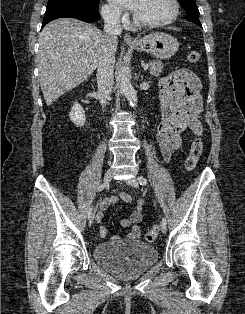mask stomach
Listing matches in <instances>:
<instances>
[{
    "label": "stomach",
    "mask_w": 245,
    "mask_h": 314,
    "mask_svg": "<svg viewBox=\"0 0 245 314\" xmlns=\"http://www.w3.org/2000/svg\"><path fill=\"white\" fill-rule=\"evenodd\" d=\"M130 47L136 51L151 53L160 59H168L176 54L179 43L177 39L167 33L153 32L139 39Z\"/></svg>",
    "instance_id": "1"
}]
</instances>
